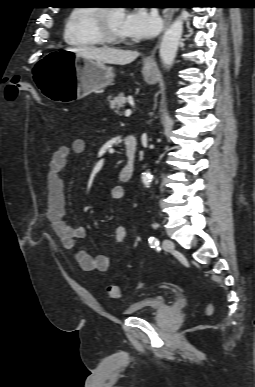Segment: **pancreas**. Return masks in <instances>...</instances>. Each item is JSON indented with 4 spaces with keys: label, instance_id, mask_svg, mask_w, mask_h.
Wrapping results in <instances>:
<instances>
[{
    "label": "pancreas",
    "instance_id": "pancreas-1",
    "mask_svg": "<svg viewBox=\"0 0 255 387\" xmlns=\"http://www.w3.org/2000/svg\"><path fill=\"white\" fill-rule=\"evenodd\" d=\"M110 101V108L117 114L120 113V109H123L127 103V100L123 93H120L117 97L113 98L111 100V97H109Z\"/></svg>",
    "mask_w": 255,
    "mask_h": 387
}]
</instances>
